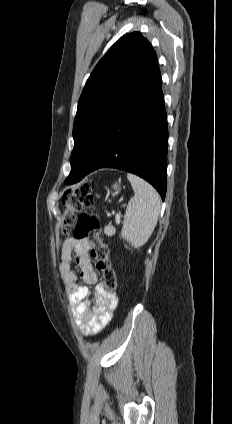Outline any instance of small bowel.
<instances>
[{
  "label": "small bowel",
  "mask_w": 232,
  "mask_h": 424,
  "mask_svg": "<svg viewBox=\"0 0 232 424\" xmlns=\"http://www.w3.org/2000/svg\"><path fill=\"white\" fill-rule=\"evenodd\" d=\"M85 240L66 239L61 246V260L58 265L60 277L65 286L75 323L85 336H92L103 330L111 321L117 300L98 284V276L89 255ZM79 268V274L72 269V263ZM88 285H97L93 299Z\"/></svg>",
  "instance_id": "obj_1"
}]
</instances>
